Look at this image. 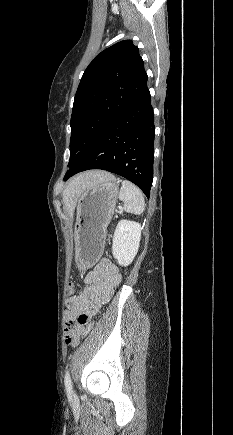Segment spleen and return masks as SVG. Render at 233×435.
I'll return each mask as SVG.
<instances>
[{
	"label": "spleen",
	"mask_w": 233,
	"mask_h": 435,
	"mask_svg": "<svg viewBox=\"0 0 233 435\" xmlns=\"http://www.w3.org/2000/svg\"><path fill=\"white\" fill-rule=\"evenodd\" d=\"M119 199L124 202V210L128 213L141 214L145 209L142 191L128 180L122 181Z\"/></svg>",
	"instance_id": "spleen-1"
}]
</instances>
